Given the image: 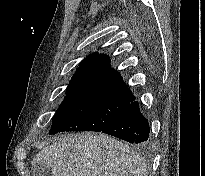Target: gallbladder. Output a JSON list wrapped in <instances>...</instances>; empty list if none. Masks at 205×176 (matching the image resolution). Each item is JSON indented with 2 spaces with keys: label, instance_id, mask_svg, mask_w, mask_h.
Returning <instances> with one entry per match:
<instances>
[{
  "label": "gallbladder",
  "instance_id": "1",
  "mask_svg": "<svg viewBox=\"0 0 205 176\" xmlns=\"http://www.w3.org/2000/svg\"><path fill=\"white\" fill-rule=\"evenodd\" d=\"M31 176H52L51 170L44 164H35L31 168Z\"/></svg>",
  "mask_w": 205,
  "mask_h": 176
}]
</instances>
